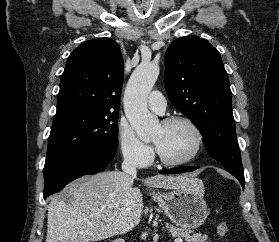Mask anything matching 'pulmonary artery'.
Wrapping results in <instances>:
<instances>
[{
  "label": "pulmonary artery",
  "mask_w": 279,
  "mask_h": 242,
  "mask_svg": "<svg viewBox=\"0 0 279 242\" xmlns=\"http://www.w3.org/2000/svg\"><path fill=\"white\" fill-rule=\"evenodd\" d=\"M148 106L153 111L162 114L166 109V99L159 91H152L148 96Z\"/></svg>",
  "instance_id": "obj_1"
}]
</instances>
